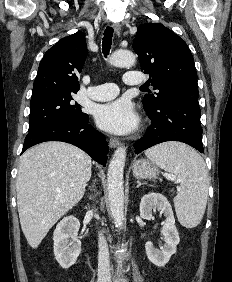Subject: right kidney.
Returning <instances> with one entry per match:
<instances>
[{
    "mask_svg": "<svg viewBox=\"0 0 232 282\" xmlns=\"http://www.w3.org/2000/svg\"><path fill=\"white\" fill-rule=\"evenodd\" d=\"M79 228V220L74 216H67L54 230V255L64 269L71 267L81 252V241L77 237Z\"/></svg>",
    "mask_w": 232,
    "mask_h": 282,
    "instance_id": "right-kidney-1",
    "label": "right kidney"
}]
</instances>
